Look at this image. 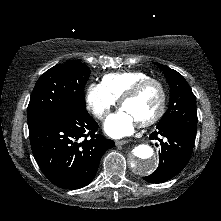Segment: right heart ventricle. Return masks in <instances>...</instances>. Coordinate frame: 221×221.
<instances>
[{"label": "right heart ventricle", "mask_w": 221, "mask_h": 221, "mask_svg": "<svg viewBox=\"0 0 221 221\" xmlns=\"http://www.w3.org/2000/svg\"><path fill=\"white\" fill-rule=\"evenodd\" d=\"M149 77L141 71L116 72L104 75L102 84L118 100L136 83Z\"/></svg>", "instance_id": "right-heart-ventricle-1"}]
</instances>
